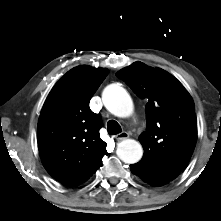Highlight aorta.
<instances>
[{"label": "aorta", "instance_id": "aorta-1", "mask_svg": "<svg viewBox=\"0 0 221 221\" xmlns=\"http://www.w3.org/2000/svg\"><path fill=\"white\" fill-rule=\"evenodd\" d=\"M102 101L108 111L117 117H128L133 113V101L129 93L118 84L107 86L102 93ZM118 157L125 163L134 164L143 156L140 143L132 139L123 140L117 147Z\"/></svg>", "mask_w": 221, "mask_h": 221}]
</instances>
